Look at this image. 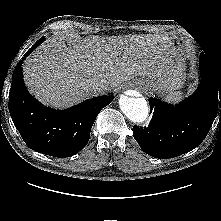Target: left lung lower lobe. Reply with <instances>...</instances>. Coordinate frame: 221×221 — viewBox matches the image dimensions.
Returning <instances> with one entry per match:
<instances>
[{
	"instance_id": "obj_1",
	"label": "left lung lower lobe",
	"mask_w": 221,
	"mask_h": 221,
	"mask_svg": "<svg viewBox=\"0 0 221 221\" xmlns=\"http://www.w3.org/2000/svg\"><path fill=\"white\" fill-rule=\"evenodd\" d=\"M201 83L189 98L175 106L149 98L153 113L148 127H133V136L148 155L169 159L187 153L208 134L218 103L221 104V72L200 54Z\"/></svg>"
}]
</instances>
